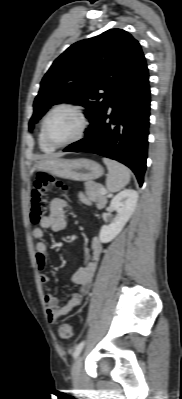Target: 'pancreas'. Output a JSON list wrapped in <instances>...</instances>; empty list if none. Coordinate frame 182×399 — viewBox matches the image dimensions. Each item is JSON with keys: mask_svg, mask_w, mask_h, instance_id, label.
Listing matches in <instances>:
<instances>
[{"mask_svg": "<svg viewBox=\"0 0 182 399\" xmlns=\"http://www.w3.org/2000/svg\"><path fill=\"white\" fill-rule=\"evenodd\" d=\"M86 193L89 195L94 201H96L99 207L104 206V201L106 200V196L103 193L104 187L101 184L95 183L93 181H87L85 183Z\"/></svg>", "mask_w": 182, "mask_h": 399, "instance_id": "1", "label": "pancreas"}]
</instances>
